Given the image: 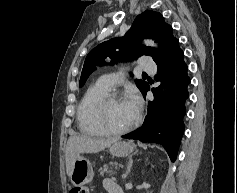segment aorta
Masks as SVG:
<instances>
[{
    "label": "aorta",
    "mask_w": 237,
    "mask_h": 193,
    "mask_svg": "<svg viewBox=\"0 0 237 193\" xmlns=\"http://www.w3.org/2000/svg\"><path fill=\"white\" fill-rule=\"evenodd\" d=\"M144 44L146 45V46H151V47H157V45H156V43L153 41V40H145L144 41Z\"/></svg>",
    "instance_id": "aorta-1"
}]
</instances>
